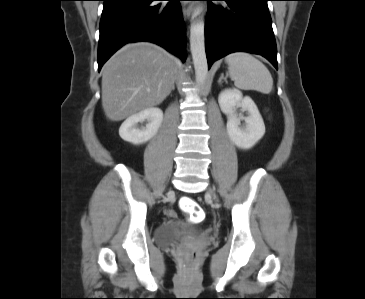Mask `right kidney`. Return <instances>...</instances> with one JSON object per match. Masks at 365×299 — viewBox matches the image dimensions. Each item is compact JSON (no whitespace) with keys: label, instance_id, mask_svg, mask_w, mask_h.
<instances>
[{"label":"right kidney","instance_id":"1","mask_svg":"<svg viewBox=\"0 0 365 299\" xmlns=\"http://www.w3.org/2000/svg\"><path fill=\"white\" fill-rule=\"evenodd\" d=\"M147 121L145 128L139 129V122ZM163 121V112L159 108H146L128 117L119 128L120 137L132 144L139 145L152 139L158 132Z\"/></svg>","mask_w":365,"mask_h":299}]
</instances>
